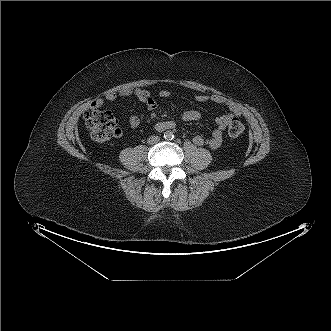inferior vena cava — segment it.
<instances>
[{
  "instance_id": "obj_1",
  "label": "inferior vena cava",
  "mask_w": 331,
  "mask_h": 331,
  "mask_svg": "<svg viewBox=\"0 0 331 331\" xmlns=\"http://www.w3.org/2000/svg\"><path fill=\"white\" fill-rule=\"evenodd\" d=\"M160 140V138L158 136H151L149 139H148V142L150 144H153V143H156Z\"/></svg>"
}]
</instances>
